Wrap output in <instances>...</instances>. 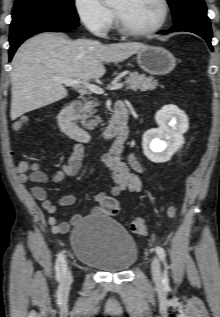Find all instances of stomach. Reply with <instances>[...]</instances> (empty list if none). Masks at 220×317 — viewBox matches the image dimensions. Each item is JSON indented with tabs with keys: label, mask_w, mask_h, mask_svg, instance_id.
I'll return each instance as SVG.
<instances>
[{
	"label": "stomach",
	"mask_w": 220,
	"mask_h": 317,
	"mask_svg": "<svg viewBox=\"0 0 220 317\" xmlns=\"http://www.w3.org/2000/svg\"><path fill=\"white\" fill-rule=\"evenodd\" d=\"M136 59L140 68L151 75H166L176 66L174 55L163 47L147 46L140 49Z\"/></svg>",
	"instance_id": "0dacf381"
}]
</instances>
